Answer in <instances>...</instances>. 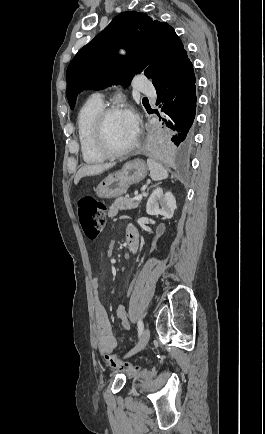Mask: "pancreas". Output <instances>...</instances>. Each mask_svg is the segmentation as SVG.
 Returning a JSON list of instances; mask_svg holds the SVG:
<instances>
[{
	"label": "pancreas",
	"instance_id": "pancreas-1",
	"mask_svg": "<svg viewBox=\"0 0 265 434\" xmlns=\"http://www.w3.org/2000/svg\"><path fill=\"white\" fill-rule=\"evenodd\" d=\"M140 200H131V198H116L114 204H111L108 212V218L117 216L119 210H134L138 208Z\"/></svg>",
	"mask_w": 265,
	"mask_h": 434
}]
</instances>
